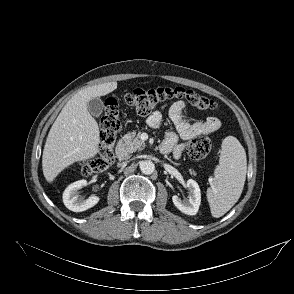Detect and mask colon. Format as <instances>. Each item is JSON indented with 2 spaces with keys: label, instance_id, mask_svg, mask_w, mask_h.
I'll return each instance as SVG.
<instances>
[{
  "label": "colon",
  "instance_id": "5ec220e1",
  "mask_svg": "<svg viewBox=\"0 0 294 294\" xmlns=\"http://www.w3.org/2000/svg\"><path fill=\"white\" fill-rule=\"evenodd\" d=\"M173 98L186 99L199 110H213L217 106L215 100L183 87L136 88L125 94L124 101L140 115H148L160 103ZM99 125L101 133L98 153L81 165L85 176L106 170L114 161V144L121 130L119 106L116 99L110 98L106 101ZM211 148L210 140L203 136L194 137L187 143L188 155L193 160L206 158Z\"/></svg>",
  "mask_w": 294,
  "mask_h": 294
}]
</instances>
